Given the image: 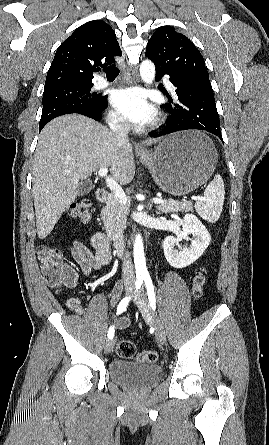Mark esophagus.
I'll return each mask as SVG.
<instances>
[{
	"label": "esophagus",
	"mask_w": 269,
	"mask_h": 445,
	"mask_svg": "<svg viewBox=\"0 0 269 445\" xmlns=\"http://www.w3.org/2000/svg\"><path fill=\"white\" fill-rule=\"evenodd\" d=\"M126 77L127 80L131 83H139L140 81L137 69L131 65L127 66Z\"/></svg>",
	"instance_id": "34e87169"
}]
</instances>
